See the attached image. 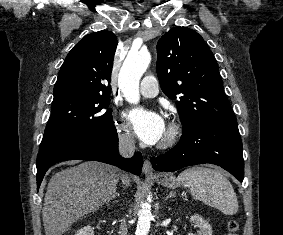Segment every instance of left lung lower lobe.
<instances>
[{
    "mask_svg": "<svg viewBox=\"0 0 283 235\" xmlns=\"http://www.w3.org/2000/svg\"><path fill=\"white\" fill-rule=\"evenodd\" d=\"M242 141L236 120L196 127L184 132L177 145L167 153L151 158L157 171L212 163L221 166L240 182L244 178Z\"/></svg>",
    "mask_w": 283,
    "mask_h": 235,
    "instance_id": "0a47b994",
    "label": "left lung lower lobe"
}]
</instances>
